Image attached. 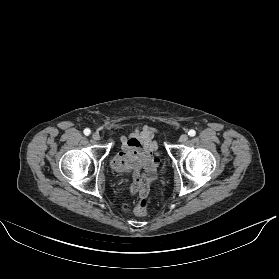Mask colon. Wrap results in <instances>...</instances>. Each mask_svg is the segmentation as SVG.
I'll return each instance as SVG.
<instances>
[{
	"instance_id": "1",
	"label": "colon",
	"mask_w": 279,
	"mask_h": 279,
	"mask_svg": "<svg viewBox=\"0 0 279 279\" xmlns=\"http://www.w3.org/2000/svg\"><path fill=\"white\" fill-rule=\"evenodd\" d=\"M149 206V201L147 199H141L135 206L130 204L129 202H124L122 204V208L125 211H133L136 216L143 217L147 213V209Z\"/></svg>"
}]
</instances>
